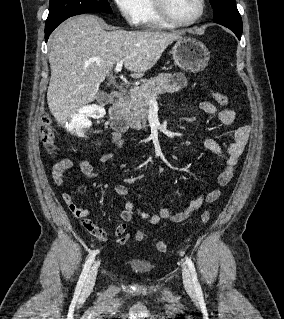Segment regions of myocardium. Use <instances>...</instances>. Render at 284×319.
Wrapping results in <instances>:
<instances>
[{"label":"myocardium","instance_id":"obj_1","mask_svg":"<svg viewBox=\"0 0 284 319\" xmlns=\"http://www.w3.org/2000/svg\"><path fill=\"white\" fill-rule=\"evenodd\" d=\"M153 6L155 9L156 14L158 17L166 22L169 25H174V26H186V25H191L199 21L205 13L206 10V1L205 0H199L200 7L198 13L191 19L188 20H182L174 17L167 4V0H152Z\"/></svg>","mask_w":284,"mask_h":319}]
</instances>
